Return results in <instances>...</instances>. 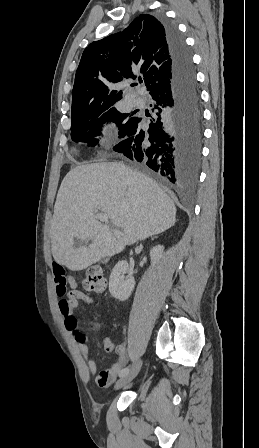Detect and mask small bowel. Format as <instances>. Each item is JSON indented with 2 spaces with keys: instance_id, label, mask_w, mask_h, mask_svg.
Wrapping results in <instances>:
<instances>
[{
  "instance_id": "small-bowel-1",
  "label": "small bowel",
  "mask_w": 259,
  "mask_h": 448,
  "mask_svg": "<svg viewBox=\"0 0 259 448\" xmlns=\"http://www.w3.org/2000/svg\"><path fill=\"white\" fill-rule=\"evenodd\" d=\"M52 273L56 292L58 296H64L59 301V312L63 318L66 329L73 332L78 342V348L87 364V377L95 374V382L101 388H107L117 379L120 371L127 362V350L125 344H120L116 348L110 338H105L103 342L104 350L107 353L115 350L117 360L106 370L98 371L96 362L91 358L90 349L86 336L78 330V322L74 315V310L81 302L88 305L94 304V299L77 289V282L72 276L66 274L65 268L59 262H53ZM67 285L70 290L67 291Z\"/></svg>"
}]
</instances>
